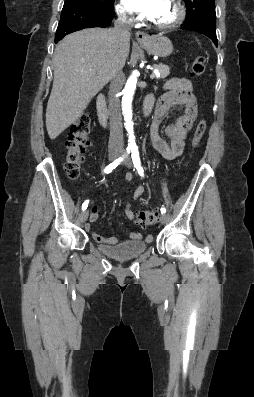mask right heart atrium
<instances>
[{"label": "right heart atrium", "mask_w": 254, "mask_h": 397, "mask_svg": "<svg viewBox=\"0 0 254 397\" xmlns=\"http://www.w3.org/2000/svg\"><path fill=\"white\" fill-rule=\"evenodd\" d=\"M116 11L119 18L125 22H132L134 20L133 16L126 10L122 4L116 6Z\"/></svg>", "instance_id": "1"}]
</instances>
